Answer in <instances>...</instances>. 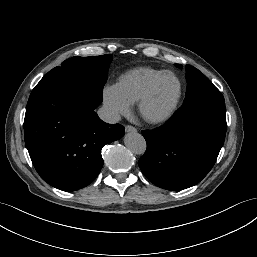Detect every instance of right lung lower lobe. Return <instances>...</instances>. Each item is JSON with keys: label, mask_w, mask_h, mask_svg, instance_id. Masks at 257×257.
I'll return each instance as SVG.
<instances>
[{"label": "right lung lower lobe", "mask_w": 257, "mask_h": 257, "mask_svg": "<svg viewBox=\"0 0 257 257\" xmlns=\"http://www.w3.org/2000/svg\"><path fill=\"white\" fill-rule=\"evenodd\" d=\"M101 102L80 83L31 93L25 144L36 171L51 186L75 191L89 185L103 166L102 147L124 135L122 125L107 124L94 112Z\"/></svg>", "instance_id": "right-lung-lower-lobe-1"}]
</instances>
